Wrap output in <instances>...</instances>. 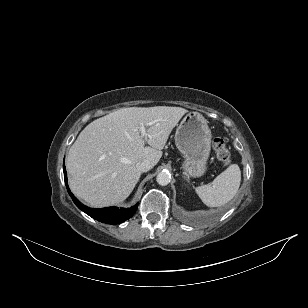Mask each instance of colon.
Instances as JSON below:
<instances>
[{"label": "colon", "instance_id": "5ec220e1", "mask_svg": "<svg viewBox=\"0 0 308 308\" xmlns=\"http://www.w3.org/2000/svg\"><path fill=\"white\" fill-rule=\"evenodd\" d=\"M212 147L218 160L223 165H228L231 162V153L223 138H215L212 142Z\"/></svg>", "mask_w": 308, "mask_h": 308}]
</instances>
